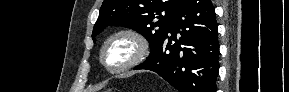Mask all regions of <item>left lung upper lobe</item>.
<instances>
[{
	"label": "left lung upper lobe",
	"mask_w": 289,
	"mask_h": 92,
	"mask_svg": "<svg viewBox=\"0 0 289 92\" xmlns=\"http://www.w3.org/2000/svg\"><path fill=\"white\" fill-rule=\"evenodd\" d=\"M182 0H104L92 38L107 26L136 30L150 43V55L162 42L166 27Z\"/></svg>",
	"instance_id": "1"
}]
</instances>
